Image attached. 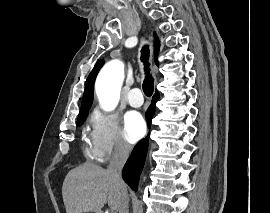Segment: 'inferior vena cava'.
<instances>
[{
  "label": "inferior vena cava",
  "instance_id": "obj_1",
  "mask_svg": "<svg viewBox=\"0 0 270 213\" xmlns=\"http://www.w3.org/2000/svg\"><path fill=\"white\" fill-rule=\"evenodd\" d=\"M130 150L131 147L128 144L125 142H118L115 146V151L110 160V164L107 167V171L120 182H123L121 171L126 160L128 159ZM119 213H129V198L126 191H122Z\"/></svg>",
  "mask_w": 270,
  "mask_h": 213
}]
</instances>
